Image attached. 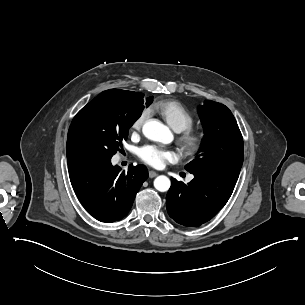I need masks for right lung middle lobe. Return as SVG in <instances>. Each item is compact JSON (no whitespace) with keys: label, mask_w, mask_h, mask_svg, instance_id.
<instances>
[{"label":"right lung middle lobe","mask_w":305,"mask_h":305,"mask_svg":"<svg viewBox=\"0 0 305 305\" xmlns=\"http://www.w3.org/2000/svg\"><path fill=\"white\" fill-rule=\"evenodd\" d=\"M144 94L120 104L88 103L72 120L67 138V162L105 164L122 148L128 131L141 116L145 106Z\"/></svg>","instance_id":"right-lung-middle-lobe-1"}]
</instances>
